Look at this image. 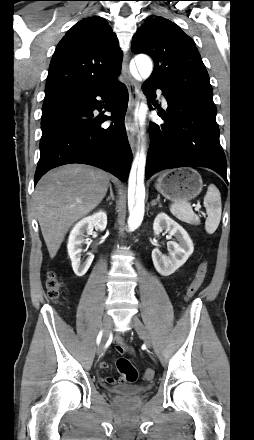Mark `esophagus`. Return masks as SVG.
<instances>
[{"label":"esophagus","mask_w":254,"mask_h":440,"mask_svg":"<svg viewBox=\"0 0 254 440\" xmlns=\"http://www.w3.org/2000/svg\"><path fill=\"white\" fill-rule=\"evenodd\" d=\"M128 61L129 54L125 53L122 65V73L125 77V84L129 93L128 110L125 117V127L130 147L134 152L136 148V127L133 122V111L139 98V85L130 74Z\"/></svg>","instance_id":"1"}]
</instances>
